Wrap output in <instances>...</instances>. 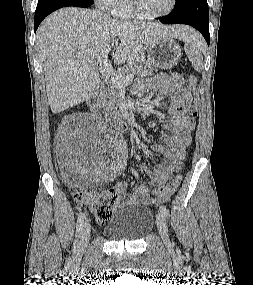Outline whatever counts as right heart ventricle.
<instances>
[{
  "instance_id": "obj_1",
  "label": "right heart ventricle",
  "mask_w": 253,
  "mask_h": 285,
  "mask_svg": "<svg viewBox=\"0 0 253 285\" xmlns=\"http://www.w3.org/2000/svg\"><path fill=\"white\" fill-rule=\"evenodd\" d=\"M111 13L116 18L129 19L134 18L135 15L131 10L129 0H116L113 7L111 8Z\"/></svg>"
}]
</instances>
